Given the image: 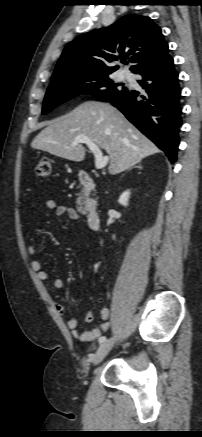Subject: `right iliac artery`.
<instances>
[{
    "mask_svg": "<svg viewBox=\"0 0 202 437\" xmlns=\"http://www.w3.org/2000/svg\"><path fill=\"white\" fill-rule=\"evenodd\" d=\"M98 341H99V343H103V342L106 341V337L105 336H101Z\"/></svg>",
    "mask_w": 202,
    "mask_h": 437,
    "instance_id": "obj_1",
    "label": "right iliac artery"
}]
</instances>
